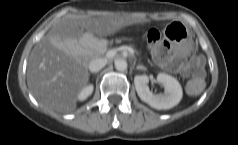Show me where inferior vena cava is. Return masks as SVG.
<instances>
[{
    "mask_svg": "<svg viewBox=\"0 0 238 145\" xmlns=\"http://www.w3.org/2000/svg\"><path fill=\"white\" fill-rule=\"evenodd\" d=\"M107 64V59L97 58L89 63V70L94 73L100 71Z\"/></svg>",
    "mask_w": 238,
    "mask_h": 145,
    "instance_id": "1",
    "label": "inferior vena cava"
}]
</instances>
